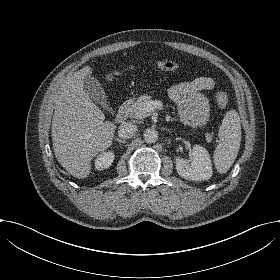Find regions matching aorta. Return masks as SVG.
<instances>
[{
  "mask_svg": "<svg viewBox=\"0 0 280 280\" xmlns=\"http://www.w3.org/2000/svg\"><path fill=\"white\" fill-rule=\"evenodd\" d=\"M143 136L146 143H155L158 140V132L154 129H146Z\"/></svg>",
  "mask_w": 280,
  "mask_h": 280,
  "instance_id": "762f6f07",
  "label": "aorta"
}]
</instances>
